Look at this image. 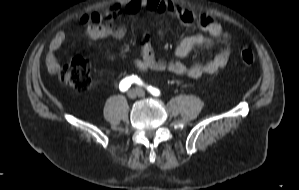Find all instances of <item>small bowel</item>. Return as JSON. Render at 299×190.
<instances>
[{
  "label": "small bowel",
  "mask_w": 299,
  "mask_h": 190,
  "mask_svg": "<svg viewBox=\"0 0 299 190\" xmlns=\"http://www.w3.org/2000/svg\"><path fill=\"white\" fill-rule=\"evenodd\" d=\"M156 13H171L177 16L182 25L197 24L201 31L183 38L177 45L174 59L159 58L154 53L150 39L145 36L140 48V56L136 57L134 64L140 72L149 70L169 72L176 75H185L190 78H199L203 75H212L225 67L231 56V43L229 33L210 15L198 16L189 9H184L170 1L165 0H125L110 6L103 12H93L82 16L81 21L86 26V35L93 41H101L107 38L121 40L125 36L126 29L123 25H108L104 21L112 20L122 12L132 14L140 11ZM66 34L59 31L50 42L46 63L48 70L55 74L60 70V64L56 53L66 41ZM215 39L222 43L221 50L205 63L191 65L183 62L191 51L199 46L210 47ZM111 58V57H110Z\"/></svg>",
  "instance_id": "obj_1"
}]
</instances>
